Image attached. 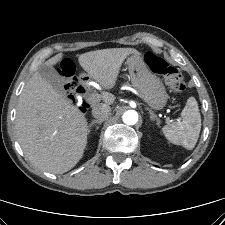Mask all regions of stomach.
<instances>
[{"label":"stomach","mask_w":225,"mask_h":225,"mask_svg":"<svg viewBox=\"0 0 225 225\" xmlns=\"http://www.w3.org/2000/svg\"><path fill=\"white\" fill-rule=\"evenodd\" d=\"M127 64L131 84L142 100L153 110L162 109L168 101V94L160 78L148 69L140 54L131 55Z\"/></svg>","instance_id":"0dacf381"}]
</instances>
